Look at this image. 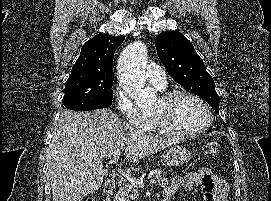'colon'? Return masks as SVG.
Wrapping results in <instances>:
<instances>
[{
    "label": "colon",
    "instance_id": "colon-1",
    "mask_svg": "<svg viewBox=\"0 0 271 201\" xmlns=\"http://www.w3.org/2000/svg\"><path fill=\"white\" fill-rule=\"evenodd\" d=\"M222 150L221 144L216 141H209L204 145V152L207 156L216 158L220 155ZM85 201H97L94 197H89Z\"/></svg>",
    "mask_w": 271,
    "mask_h": 201
}]
</instances>
